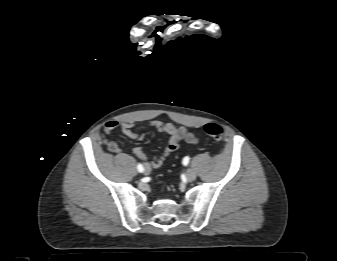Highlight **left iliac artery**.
<instances>
[{"instance_id":"left-iliac-artery-1","label":"left iliac artery","mask_w":337,"mask_h":261,"mask_svg":"<svg viewBox=\"0 0 337 261\" xmlns=\"http://www.w3.org/2000/svg\"><path fill=\"white\" fill-rule=\"evenodd\" d=\"M182 163H183V165H185V166L188 165V163H189V157H187V156L184 157Z\"/></svg>"}]
</instances>
